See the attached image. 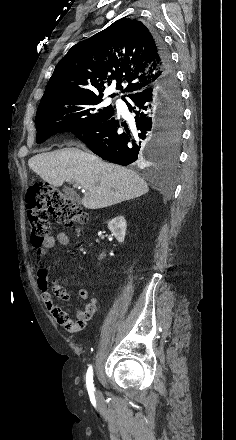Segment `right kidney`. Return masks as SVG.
<instances>
[{
  "instance_id": "obj_1",
  "label": "right kidney",
  "mask_w": 236,
  "mask_h": 440,
  "mask_svg": "<svg viewBox=\"0 0 236 440\" xmlns=\"http://www.w3.org/2000/svg\"><path fill=\"white\" fill-rule=\"evenodd\" d=\"M126 227V220L123 216L115 217L108 223L109 230L119 243H122L125 239Z\"/></svg>"
}]
</instances>
